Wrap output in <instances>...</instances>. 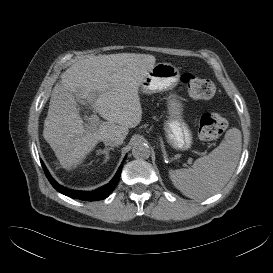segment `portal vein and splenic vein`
I'll return each instance as SVG.
<instances>
[{
	"label": "portal vein and splenic vein",
	"mask_w": 273,
	"mask_h": 273,
	"mask_svg": "<svg viewBox=\"0 0 273 273\" xmlns=\"http://www.w3.org/2000/svg\"><path fill=\"white\" fill-rule=\"evenodd\" d=\"M91 124L87 125V129L90 131H95L97 129V126L99 124V117L96 113L92 114L89 118Z\"/></svg>",
	"instance_id": "obj_1"
}]
</instances>
